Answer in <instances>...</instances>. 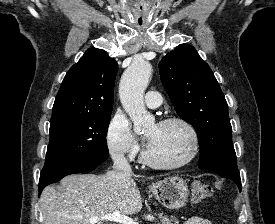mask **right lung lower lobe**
Here are the masks:
<instances>
[{
    "instance_id": "obj_1",
    "label": "right lung lower lobe",
    "mask_w": 275,
    "mask_h": 224,
    "mask_svg": "<svg viewBox=\"0 0 275 224\" xmlns=\"http://www.w3.org/2000/svg\"><path fill=\"white\" fill-rule=\"evenodd\" d=\"M108 158V153H101L84 160L66 162L48 168H43L39 180V194L45 186L75 173H88Z\"/></svg>"
}]
</instances>
